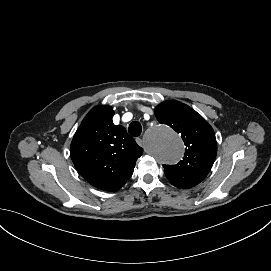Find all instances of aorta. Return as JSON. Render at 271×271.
<instances>
[{"mask_svg":"<svg viewBox=\"0 0 271 271\" xmlns=\"http://www.w3.org/2000/svg\"><path fill=\"white\" fill-rule=\"evenodd\" d=\"M147 150L160 162L175 164L184 154V144L168 126H159L146 134Z\"/></svg>","mask_w":271,"mask_h":271,"instance_id":"1","label":"aorta"}]
</instances>
